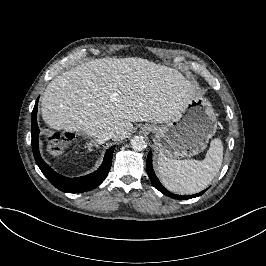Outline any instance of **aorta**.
Returning <instances> with one entry per match:
<instances>
[{
  "instance_id": "obj_1",
  "label": "aorta",
  "mask_w": 266,
  "mask_h": 266,
  "mask_svg": "<svg viewBox=\"0 0 266 266\" xmlns=\"http://www.w3.org/2000/svg\"><path fill=\"white\" fill-rule=\"evenodd\" d=\"M131 147L135 151H142L147 144L143 136H134L130 141Z\"/></svg>"
}]
</instances>
